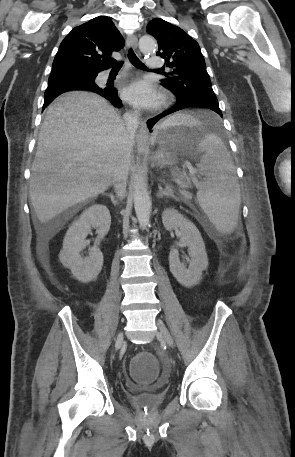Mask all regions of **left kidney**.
I'll return each instance as SVG.
<instances>
[{
	"label": "left kidney",
	"instance_id": "1",
	"mask_svg": "<svg viewBox=\"0 0 295 457\" xmlns=\"http://www.w3.org/2000/svg\"><path fill=\"white\" fill-rule=\"evenodd\" d=\"M162 222L166 230L180 229V242L188 247L191 257L189 266L181 264L177 250L169 254L170 271L176 280L186 288L198 284L202 272L208 267L205 244L197 227L176 209L169 208L162 213Z\"/></svg>",
	"mask_w": 295,
	"mask_h": 457
}]
</instances>
